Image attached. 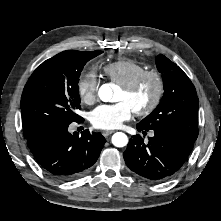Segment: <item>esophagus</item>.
Returning a JSON list of instances; mask_svg holds the SVG:
<instances>
[{
	"instance_id": "esophagus-1",
	"label": "esophagus",
	"mask_w": 221,
	"mask_h": 221,
	"mask_svg": "<svg viewBox=\"0 0 221 221\" xmlns=\"http://www.w3.org/2000/svg\"><path fill=\"white\" fill-rule=\"evenodd\" d=\"M114 131H103L102 134L103 136L107 137L109 135H111Z\"/></svg>"
}]
</instances>
